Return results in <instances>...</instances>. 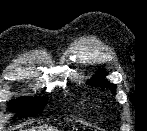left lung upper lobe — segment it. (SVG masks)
<instances>
[{"mask_svg":"<svg viewBox=\"0 0 147 131\" xmlns=\"http://www.w3.org/2000/svg\"><path fill=\"white\" fill-rule=\"evenodd\" d=\"M104 70H101L100 72H98L94 79L89 80L87 83L90 85H95L98 87H105V88H109L113 93H115L116 91V85L112 84L110 82H108L105 78H104Z\"/></svg>","mask_w":147,"mask_h":131,"instance_id":"obj_1","label":"left lung upper lobe"}]
</instances>
